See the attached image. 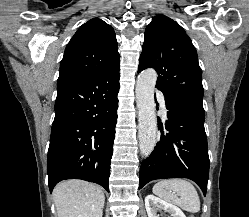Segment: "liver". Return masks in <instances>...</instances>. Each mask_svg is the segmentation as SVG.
I'll return each instance as SVG.
<instances>
[{"label": "liver", "mask_w": 249, "mask_h": 217, "mask_svg": "<svg viewBox=\"0 0 249 217\" xmlns=\"http://www.w3.org/2000/svg\"><path fill=\"white\" fill-rule=\"evenodd\" d=\"M58 217H102L105 196L96 185L68 180L53 190Z\"/></svg>", "instance_id": "obj_1"}]
</instances>
